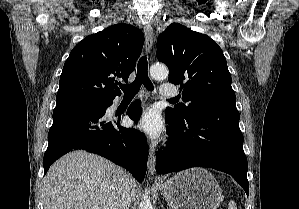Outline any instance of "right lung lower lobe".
Returning <instances> with one entry per match:
<instances>
[{"label": "right lung lower lobe", "instance_id": "98d812e1", "mask_svg": "<svg viewBox=\"0 0 299 209\" xmlns=\"http://www.w3.org/2000/svg\"><path fill=\"white\" fill-rule=\"evenodd\" d=\"M112 100L56 103L53 124L48 133L49 144L43 159L44 175L62 155L83 149L123 166L138 182L144 179L148 160L145 136L137 129L120 126V119L105 118L106 108L113 104ZM141 113L137 102L127 111L134 121Z\"/></svg>", "mask_w": 299, "mask_h": 209}]
</instances>
